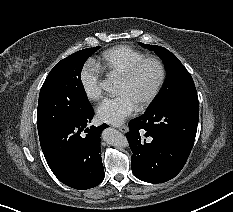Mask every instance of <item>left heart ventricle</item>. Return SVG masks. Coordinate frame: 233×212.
I'll return each mask as SVG.
<instances>
[{
	"label": "left heart ventricle",
	"mask_w": 233,
	"mask_h": 212,
	"mask_svg": "<svg viewBox=\"0 0 233 212\" xmlns=\"http://www.w3.org/2000/svg\"><path fill=\"white\" fill-rule=\"evenodd\" d=\"M158 67L153 62L145 63L132 81L120 79L118 94L126 93L139 105L152 91L158 79Z\"/></svg>",
	"instance_id": "obj_1"
}]
</instances>
